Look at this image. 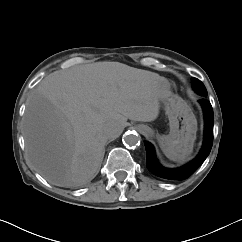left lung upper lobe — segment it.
I'll return each instance as SVG.
<instances>
[{
	"label": "left lung upper lobe",
	"mask_w": 242,
	"mask_h": 242,
	"mask_svg": "<svg viewBox=\"0 0 242 242\" xmlns=\"http://www.w3.org/2000/svg\"><path fill=\"white\" fill-rule=\"evenodd\" d=\"M192 86H193V89L195 90V92H197L198 94H200L203 97L207 96V90H206L205 86L197 78H192Z\"/></svg>",
	"instance_id": "5c2ea615"
}]
</instances>
